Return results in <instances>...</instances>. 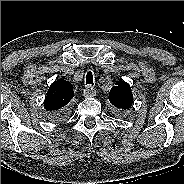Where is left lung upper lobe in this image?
Listing matches in <instances>:
<instances>
[{"label":"left lung upper lobe","instance_id":"5c2ea615","mask_svg":"<svg viewBox=\"0 0 184 184\" xmlns=\"http://www.w3.org/2000/svg\"><path fill=\"white\" fill-rule=\"evenodd\" d=\"M109 100L119 110H128L133 104V94L130 85L125 81H118L109 93Z\"/></svg>","mask_w":184,"mask_h":184}]
</instances>
